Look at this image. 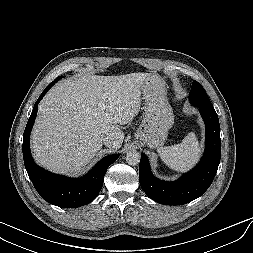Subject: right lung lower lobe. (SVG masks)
I'll list each match as a JSON object with an SVG mask.
<instances>
[{
    "mask_svg": "<svg viewBox=\"0 0 253 253\" xmlns=\"http://www.w3.org/2000/svg\"><path fill=\"white\" fill-rule=\"evenodd\" d=\"M55 83L53 81L47 86L34 105L23 135V158L29 178L44 200L62 208H75L90 203L98 195L107 168L118 159L120 154L104 157L86 176L79 179L56 175L36 165L29 147L30 132L40 100Z\"/></svg>",
    "mask_w": 253,
    "mask_h": 253,
    "instance_id": "1",
    "label": "right lung lower lobe"
}]
</instances>
